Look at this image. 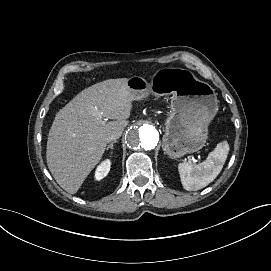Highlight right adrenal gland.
I'll return each mask as SVG.
<instances>
[{
  "label": "right adrenal gland",
  "mask_w": 271,
  "mask_h": 271,
  "mask_svg": "<svg viewBox=\"0 0 271 271\" xmlns=\"http://www.w3.org/2000/svg\"><path fill=\"white\" fill-rule=\"evenodd\" d=\"M115 142H116V140L112 141V142L108 145L107 151H108L109 149L113 150V144H114Z\"/></svg>",
  "instance_id": "1"
}]
</instances>
